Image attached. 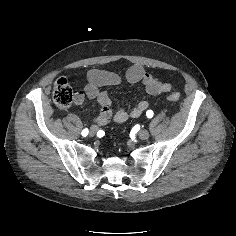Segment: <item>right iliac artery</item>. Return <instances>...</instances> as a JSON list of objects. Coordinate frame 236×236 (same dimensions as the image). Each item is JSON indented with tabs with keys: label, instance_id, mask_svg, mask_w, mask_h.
<instances>
[{
	"label": "right iliac artery",
	"instance_id": "1",
	"mask_svg": "<svg viewBox=\"0 0 236 236\" xmlns=\"http://www.w3.org/2000/svg\"><path fill=\"white\" fill-rule=\"evenodd\" d=\"M88 132H89V131H88V129H87V128H85V129L82 131V133H81V134H82V136H84V137H85V136H87V135H88Z\"/></svg>",
	"mask_w": 236,
	"mask_h": 236
}]
</instances>
